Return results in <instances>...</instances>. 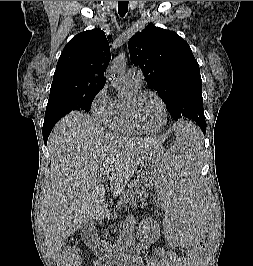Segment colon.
I'll return each mask as SVG.
<instances>
[{"label": "colon", "instance_id": "5ec220e1", "mask_svg": "<svg viewBox=\"0 0 253 266\" xmlns=\"http://www.w3.org/2000/svg\"><path fill=\"white\" fill-rule=\"evenodd\" d=\"M206 244L201 242V248H191L181 259L180 266H197L202 254L204 253ZM81 253L75 246H69L61 253L58 264L59 266H80Z\"/></svg>", "mask_w": 253, "mask_h": 266}]
</instances>
